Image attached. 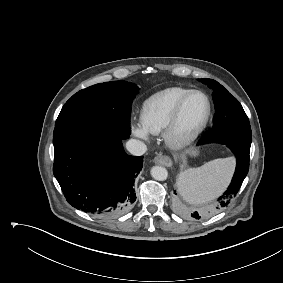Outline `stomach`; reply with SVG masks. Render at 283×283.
Listing matches in <instances>:
<instances>
[{"mask_svg": "<svg viewBox=\"0 0 283 283\" xmlns=\"http://www.w3.org/2000/svg\"><path fill=\"white\" fill-rule=\"evenodd\" d=\"M190 155H193V156H195V155H197V151L196 150H194V149H191L189 152H188Z\"/></svg>", "mask_w": 283, "mask_h": 283, "instance_id": "stomach-1", "label": "stomach"}]
</instances>
